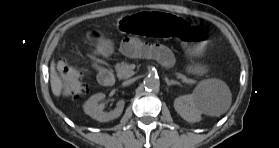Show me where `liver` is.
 Masks as SVG:
<instances>
[{
    "label": "liver",
    "instance_id": "1",
    "mask_svg": "<svg viewBox=\"0 0 279 148\" xmlns=\"http://www.w3.org/2000/svg\"><path fill=\"white\" fill-rule=\"evenodd\" d=\"M50 83L53 94L56 97H59L62 93V89L64 88V84L55 69L54 60L51 61L50 65Z\"/></svg>",
    "mask_w": 279,
    "mask_h": 148
}]
</instances>
